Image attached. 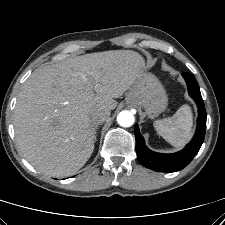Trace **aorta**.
I'll list each match as a JSON object with an SVG mask.
<instances>
[{"mask_svg":"<svg viewBox=\"0 0 225 225\" xmlns=\"http://www.w3.org/2000/svg\"><path fill=\"white\" fill-rule=\"evenodd\" d=\"M135 118L132 112L123 110L117 115V122L122 127H130L134 124Z\"/></svg>","mask_w":225,"mask_h":225,"instance_id":"1","label":"aorta"}]
</instances>
